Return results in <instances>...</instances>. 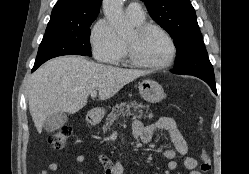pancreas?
<instances>
[{
    "label": "pancreas",
    "mask_w": 249,
    "mask_h": 174,
    "mask_svg": "<svg viewBox=\"0 0 249 174\" xmlns=\"http://www.w3.org/2000/svg\"><path fill=\"white\" fill-rule=\"evenodd\" d=\"M131 109H133L134 112H139L141 115L143 114V110L146 109V106L142 103H136V101L126 103L122 102L120 104H116L115 107L112 108V111L110 114H108V117L106 119L105 124L103 125V131L107 132L111 129L113 123L117 118L120 116H130L132 115ZM146 113L148 114V110H146ZM149 117H151V113L148 114Z\"/></svg>",
    "instance_id": "pancreas-1"
}]
</instances>
